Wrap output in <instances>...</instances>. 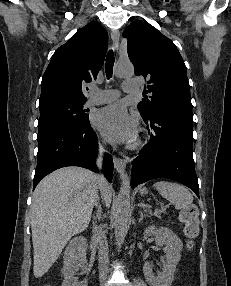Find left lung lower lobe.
<instances>
[{"mask_svg": "<svg viewBox=\"0 0 231 286\" xmlns=\"http://www.w3.org/2000/svg\"><path fill=\"white\" fill-rule=\"evenodd\" d=\"M149 143L133 161L131 186L155 178H168L191 188L199 197V185L192 153V110L157 106L144 118Z\"/></svg>", "mask_w": 231, "mask_h": 286, "instance_id": "left-lung-lower-lobe-1", "label": "left lung lower lobe"}]
</instances>
